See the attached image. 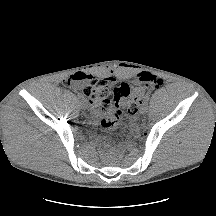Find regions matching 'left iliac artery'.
Wrapping results in <instances>:
<instances>
[{
	"mask_svg": "<svg viewBox=\"0 0 216 216\" xmlns=\"http://www.w3.org/2000/svg\"><path fill=\"white\" fill-rule=\"evenodd\" d=\"M149 102H150V97H145L144 104H149Z\"/></svg>",
	"mask_w": 216,
	"mask_h": 216,
	"instance_id": "left-iliac-artery-1",
	"label": "left iliac artery"
}]
</instances>
